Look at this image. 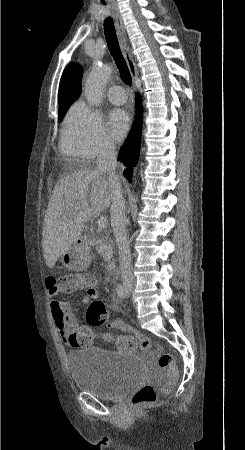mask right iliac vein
Here are the masks:
<instances>
[{"mask_svg":"<svg viewBox=\"0 0 245 450\" xmlns=\"http://www.w3.org/2000/svg\"><path fill=\"white\" fill-rule=\"evenodd\" d=\"M125 291L130 294L132 292V286L130 285H125Z\"/></svg>","mask_w":245,"mask_h":450,"instance_id":"1","label":"right iliac vein"}]
</instances>
